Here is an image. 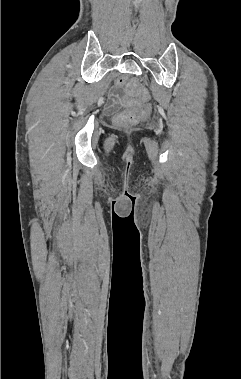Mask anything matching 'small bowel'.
Returning <instances> with one entry per match:
<instances>
[{
	"mask_svg": "<svg viewBox=\"0 0 241 379\" xmlns=\"http://www.w3.org/2000/svg\"><path fill=\"white\" fill-rule=\"evenodd\" d=\"M116 104V95L114 93L110 94L107 102V107L109 109L113 108Z\"/></svg>",
	"mask_w": 241,
	"mask_h": 379,
	"instance_id": "obj_1",
	"label": "small bowel"
}]
</instances>
